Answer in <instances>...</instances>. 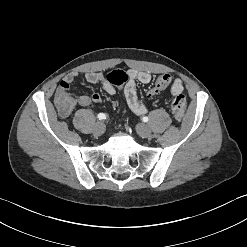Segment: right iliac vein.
<instances>
[{
	"mask_svg": "<svg viewBox=\"0 0 247 247\" xmlns=\"http://www.w3.org/2000/svg\"><path fill=\"white\" fill-rule=\"evenodd\" d=\"M105 132V125L103 122L99 121L95 124L93 128V133L96 136H100Z\"/></svg>",
	"mask_w": 247,
	"mask_h": 247,
	"instance_id": "obj_1",
	"label": "right iliac vein"
}]
</instances>
